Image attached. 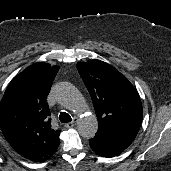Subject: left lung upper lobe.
I'll list each match as a JSON object with an SVG mask.
<instances>
[{
	"mask_svg": "<svg viewBox=\"0 0 171 171\" xmlns=\"http://www.w3.org/2000/svg\"><path fill=\"white\" fill-rule=\"evenodd\" d=\"M77 69L96 111L99 128L95 137L125 150L142 122L137 90L123 74L103 61L79 62Z\"/></svg>",
	"mask_w": 171,
	"mask_h": 171,
	"instance_id": "1",
	"label": "left lung upper lobe"
}]
</instances>
